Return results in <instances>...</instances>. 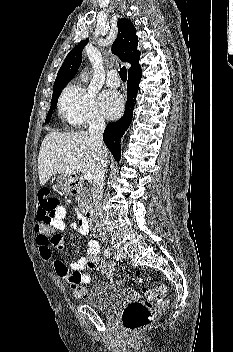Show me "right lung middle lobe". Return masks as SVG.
Listing matches in <instances>:
<instances>
[{
  "label": "right lung middle lobe",
  "instance_id": "dd1d6c3e",
  "mask_svg": "<svg viewBox=\"0 0 233 352\" xmlns=\"http://www.w3.org/2000/svg\"><path fill=\"white\" fill-rule=\"evenodd\" d=\"M64 87H60V88H56L54 89L53 91V97H52V100H51V107L49 109V112L47 114V117H46V122H48L50 120V117L52 116V113H53V110L56 108V105H57V100L61 94V91L63 90Z\"/></svg>",
  "mask_w": 233,
  "mask_h": 352
}]
</instances>
